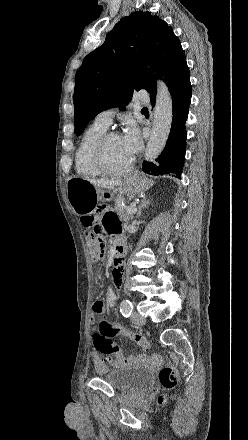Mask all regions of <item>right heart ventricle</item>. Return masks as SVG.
<instances>
[{"label":"right heart ventricle","instance_id":"e07e8e85","mask_svg":"<svg viewBox=\"0 0 248 440\" xmlns=\"http://www.w3.org/2000/svg\"><path fill=\"white\" fill-rule=\"evenodd\" d=\"M106 131L107 128L94 122L83 133L75 153V168L78 174L88 178L101 175L93 164L92 152L96 142Z\"/></svg>","mask_w":248,"mask_h":440}]
</instances>
